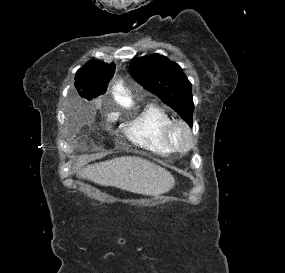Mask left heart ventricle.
<instances>
[{
  "label": "left heart ventricle",
  "instance_id": "obj_1",
  "mask_svg": "<svg viewBox=\"0 0 285 273\" xmlns=\"http://www.w3.org/2000/svg\"><path fill=\"white\" fill-rule=\"evenodd\" d=\"M175 137H176V140H177L179 143H182V142L184 141V139H185L184 134H183L182 132H180V131H177V132L175 133Z\"/></svg>",
  "mask_w": 285,
  "mask_h": 273
}]
</instances>
